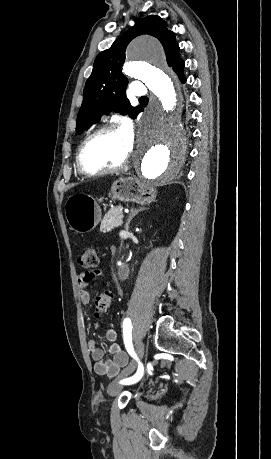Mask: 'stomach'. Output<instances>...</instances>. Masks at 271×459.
Returning a JSON list of instances; mask_svg holds the SVG:
<instances>
[{"mask_svg":"<svg viewBox=\"0 0 271 459\" xmlns=\"http://www.w3.org/2000/svg\"><path fill=\"white\" fill-rule=\"evenodd\" d=\"M111 194L120 202L151 204L156 200L157 190L150 182H141L132 176L115 180L111 186ZM65 216L70 229L77 233H87L99 224L101 210L94 198L88 194H74L65 204Z\"/></svg>","mask_w":271,"mask_h":459,"instance_id":"stomach-1","label":"stomach"}]
</instances>
